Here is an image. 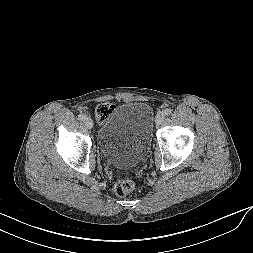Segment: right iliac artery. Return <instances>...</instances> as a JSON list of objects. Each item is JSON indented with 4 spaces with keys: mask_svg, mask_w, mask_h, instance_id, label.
<instances>
[{
    "mask_svg": "<svg viewBox=\"0 0 253 253\" xmlns=\"http://www.w3.org/2000/svg\"><path fill=\"white\" fill-rule=\"evenodd\" d=\"M78 119L82 120V121L85 120V115L84 114H79Z\"/></svg>",
    "mask_w": 253,
    "mask_h": 253,
    "instance_id": "obj_1",
    "label": "right iliac artery"
}]
</instances>
